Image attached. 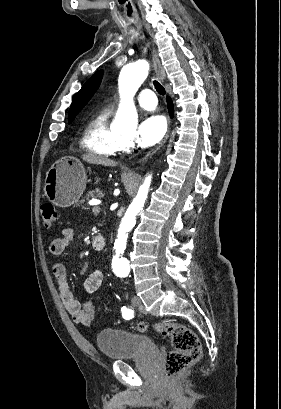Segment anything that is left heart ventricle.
<instances>
[{"instance_id": "obj_1", "label": "left heart ventricle", "mask_w": 281, "mask_h": 409, "mask_svg": "<svg viewBox=\"0 0 281 409\" xmlns=\"http://www.w3.org/2000/svg\"><path fill=\"white\" fill-rule=\"evenodd\" d=\"M121 136H123L124 138L131 140L134 138L135 135H131V134H127V133H120Z\"/></svg>"}]
</instances>
